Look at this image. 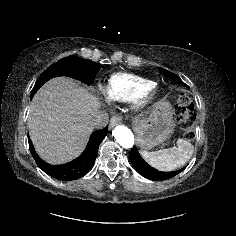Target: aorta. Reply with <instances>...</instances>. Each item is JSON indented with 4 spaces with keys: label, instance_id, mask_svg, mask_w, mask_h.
<instances>
[{
    "label": "aorta",
    "instance_id": "762f6f07",
    "mask_svg": "<svg viewBox=\"0 0 236 236\" xmlns=\"http://www.w3.org/2000/svg\"><path fill=\"white\" fill-rule=\"evenodd\" d=\"M112 134L123 148H131L134 145V135L128 127L118 125L114 128Z\"/></svg>",
    "mask_w": 236,
    "mask_h": 236
}]
</instances>
